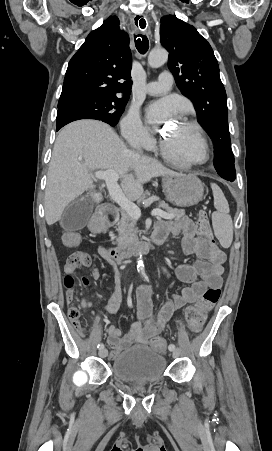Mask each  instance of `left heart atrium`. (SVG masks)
<instances>
[{"label": "left heart atrium", "instance_id": "left-heart-atrium-1", "mask_svg": "<svg viewBox=\"0 0 272 451\" xmlns=\"http://www.w3.org/2000/svg\"><path fill=\"white\" fill-rule=\"evenodd\" d=\"M176 111V105L168 99L160 100L150 106L148 111V121L155 129H159L164 123L170 121V117Z\"/></svg>", "mask_w": 272, "mask_h": 451}]
</instances>
